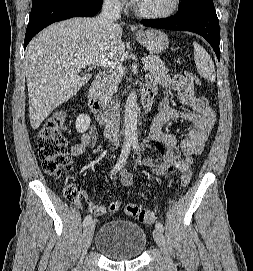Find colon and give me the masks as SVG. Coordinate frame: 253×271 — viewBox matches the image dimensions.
<instances>
[{"mask_svg": "<svg viewBox=\"0 0 253 271\" xmlns=\"http://www.w3.org/2000/svg\"><path fill=\"white\" fill-rule=\"evenodd\" d=\"M191 76V74H189ZM68 114L66 111L53 113L44 123L37 136V148L41 160L42 169L45 173L62 181L72 167V159L68 153V141L64 135ZM191 173L185 172L180 179L181 186L185 187L190 183ZM64 195L70 202H77L81 196L80 188L69 183L64 188ZM121 203L114 200L109 204V211H119ZM124 212L137 219L141 223L152 224L156 219L153 210L146 209L137 204H126Z\"/></svg>", "mask_w": 253, "mask_h": 271, "instance_id": "obj_1", "label": "colon"}]
</instances>
